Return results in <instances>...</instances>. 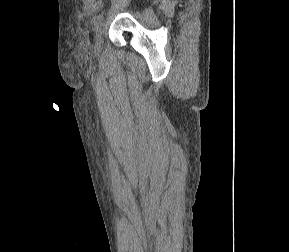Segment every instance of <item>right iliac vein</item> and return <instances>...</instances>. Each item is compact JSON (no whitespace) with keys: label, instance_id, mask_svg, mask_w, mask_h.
Listing matches in <instances>:
<instances>
[{"label":"right iliac vein","instance_id":"right-iliac-vein-1","mask_svg":"<svg viewBox=\"0 0 289 252\" xmlns=\"http://www.w3.org/2000/svg\"><path fill=\"white\" fill-rule=\"evenodd\" d=\"M103 34H104V24L101 23L99 27L97 28L96 34H95V46H94L95 52H100L101 50V42H102Z\"/></svg>","mask_w":289,"mask_h":252}]
</instances>
